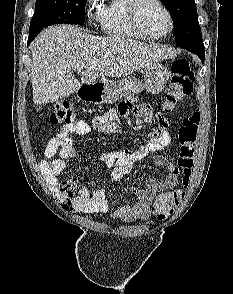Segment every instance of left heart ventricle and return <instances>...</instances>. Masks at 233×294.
Wrapping results in <instances>:
<instances>
[{
	"mask_svg": "<svg viewBox=\"0 0 233 294\" xmlns=\"http://www.w3.org/2000/svg\"><path fill=\"white\" fill-rule=\"evenodd\" d=\"M140 22L144 30L152 35L163 34L169 28L166 13L158 4L151 1L141 7Z\"/></svg>",
	"mask_w": 233,
	"mask_h": 294,
	"instance_id": "obj_1",
	"label": "left heart ventricle"
}]
</instances>
